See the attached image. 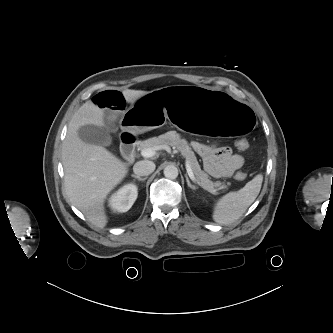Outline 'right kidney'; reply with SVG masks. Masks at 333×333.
<instances>
[{
    "label": "right kidney",
    "mask_w": 333,
    "mask_h": 333,
    "mask_svg": "<svg viewBox=\"0 0 333 333\" xmlns=\"http://www.w3.org/2000/svg\"><path fill=\"white\" fill-rule=\"evenodd\" d=\"M137 190V186L133 183L124 185L110 197V208L114 212L128 211L137 199Z\"/></svg>",
    "instance_id": "obj_1"
}]
</instances>
